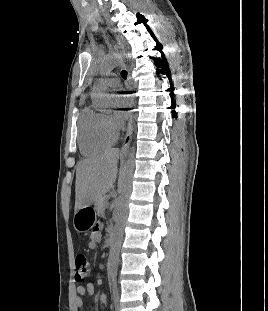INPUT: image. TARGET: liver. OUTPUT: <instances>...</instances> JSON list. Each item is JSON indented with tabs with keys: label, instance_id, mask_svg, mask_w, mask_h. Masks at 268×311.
<instances>
[{
	"label": "liver",
	"instance_id": "obj_1",
	"mask_svg": "<svg viewBox=\"0 0 268 311\" xmlns=\"http://www.w3.org/2000/svg\"><path fill=\"white\" fill-rule=\"evenodd\" d=\"M119 151L110 149L94 158L79 162L75 183V211L103 197L117 177Z\"/></svg>",
	"mask_w": 268,
	"mask_h": 311
}]
</instances>
